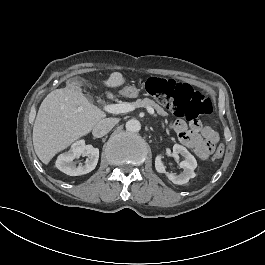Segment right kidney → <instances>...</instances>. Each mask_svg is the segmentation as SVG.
I'll use <instances>...</instances> for the list:
<instances>
[{
  "label": "right kidney",
  "mask_w": 265,
  "mask_h": 265,
  "mask_svg": "<svg viewBox=\"0 0 265 265\" xmlns=\"http://www.w3.org/2000/svg\"><path fill=\"white\" fill-rule=\"evenodd\" d=\"M80 155L84 157H90V160L85 166H76L73 163V160ZM98 159L99 149L94 148L92 144L86 145L83 140H80L71 146L69 152L58 157V160L56 161V167L62 172L71 176L84 175L96 168Z\"/></svg>",
  "instance_id": "obj_1"
}]
</instances>
